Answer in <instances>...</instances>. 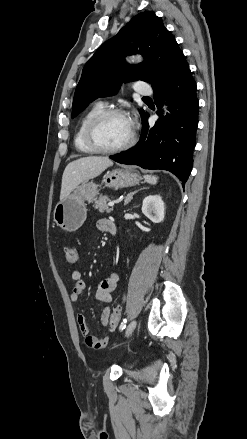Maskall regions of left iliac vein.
I'll use <instances>...</instances> for the list:
<instances>
[{
    "label": "left iliac vein",
    "instance_id": "left-iliac-vein-1",
    "mask_svg": "<svg viewBox=\"0 0 247 439\" xmlns=\"http://www.w3.org/2000/svg\"><path fill=\"white\" fill-rule=\"evenodd\" d=\"M136 325H137V321H136V320H133V321L127 326L126 331H125V336H129V335L134 331V329L136 328Z\"/></svg>",
    "mask_w": 247,
    "mask_h": 439
}]
</instances>
